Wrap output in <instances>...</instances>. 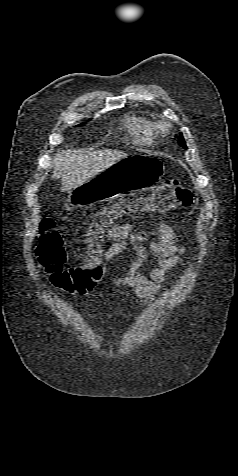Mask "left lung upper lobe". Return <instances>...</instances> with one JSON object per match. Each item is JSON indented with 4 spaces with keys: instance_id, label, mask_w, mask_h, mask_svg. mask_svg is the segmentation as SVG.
Masks as SVG:
<instances>
[{
    "instance_id": "5c2ea615",
    "label": "left lung upper lobe",
    "mask_w": 238,
    "mask_h": 476,
    "mask_svg": "<svg viewBox=\"0 0 238 476\" xmlns=\"http://www.w3.org/2000/svg\"><path fill=\"white\" fill-rule=\"evenodd\" d=\"M179 145L184 147V148H187L186 144H185V141L183 139V136L182 134H180V137H179Z\"/></svg>"
}]
</instances>
